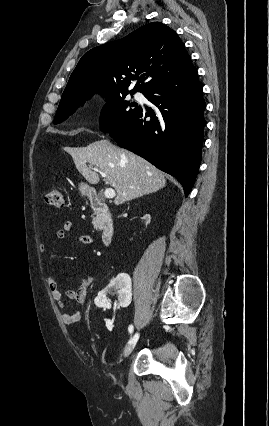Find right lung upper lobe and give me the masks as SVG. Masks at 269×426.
Returning a JSON list of instances; mask_svg holds the SVG:
<instances>
[{"label": "right lung upper lobe", "instance_id": "obj_1", "mask_svg": "<svg viewBox=\"0 0 269 426\" xmlns=\"http://www.w3.org/2000/svg\"><path fill=\"white\" fill-rule=\"evenodd\" d=\"M192 67L176 32L160 22L147 24L128 36L89 50L72 72L62 98L146 92ZM135 74V75H134Z\"/></svg>", "mask_w": 269, "mask_h": 426}]
</instances>
